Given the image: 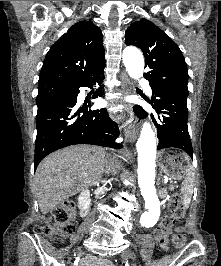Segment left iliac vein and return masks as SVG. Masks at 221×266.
<instances>
[{"mask_svg":"<svg viewBox=\"0 0 221 266\" xmlns=\"http://www.w3.org/2000/svg\"><path fill=\"white\" fill-rule=\"evenodd\" d=\"M123 259H131V260H136L135 254L131 250H127L122 253Z\"/></svg>","mask_w":221,"mask_h":266,"instance_id":"1","label":"left iliac vein"}]
</instances>
